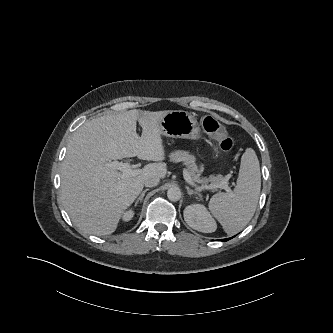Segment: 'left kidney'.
<instances>
[{"instance_id": "left-kidney-1", "label": "left kidney", "mask_w": 333, "mask_h": 333, "mask_svg": "<svg viewBox=\"0 0 333 333\" xmlns=\"http://www.w3.org/2000/svg\"><path fill=\"white\" fill-rule=\"evenodd\" d=\"M184 219L191 228L199 232L212 233L217 228L215 220L201 204L188 205L184 210Z\"/></svg>"}]
</instances>
